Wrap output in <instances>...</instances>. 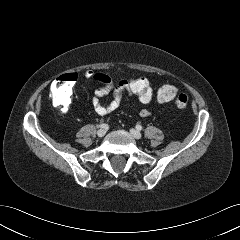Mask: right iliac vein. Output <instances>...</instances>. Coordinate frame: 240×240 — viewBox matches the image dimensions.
Segmentation results:
<instances>
[{"instance_id": "63e3f726", "label": "right iliac vein", "mask_w": 240, "mask_h": 240, "mask_svg": "<svg viewBox=\"0 0 240 240\" xmlns=\"http://www.w3.org/2000/svg\"><path fill=\"white\" fill-rule=\"evenodd\" d=\"M106 134V130L105 129H99L98 131H97V136L98 137H103L104 135Z\"/></svg>"}]
</instances>
